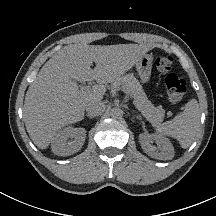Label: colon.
<instances>
[{"label": "colon", "instance_id": "obj_1", "mask_svg": "<svg viewBox=\"0 0 216 216\" xmlns=\"http://www.w3.org/2000/svg\"><path fill=\"white\" fill-rule=\"evenodd\" d=\"M154 64L158 72L165 76L167 93L172 104H178L186 94L185 80L172 73L174 60L168 55H158Z\"/></svg>", "mask_w": 216, "mask_h": 216}]
</instances>
